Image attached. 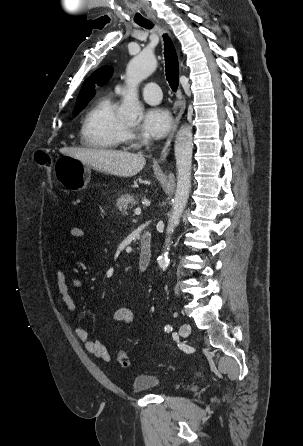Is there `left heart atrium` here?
Segmentation results:
<instances>
[{"instance_id": "left-heart-atrium-1", "label": "left heart atrium", "mask_w": 303, "mask_h": 446, "mask_svg": "<svg viewBox=\"0 0 303 446\" xmlns=\"http://www.w3.org/2000/svg\"><path fill=\"white\" fill-rule=\"evenodd\" d=\"M171 123V115L166 109L154 107L145 111L140 130L147 138L159 139L168 133Z\"/></svg>"}]
</instances>
